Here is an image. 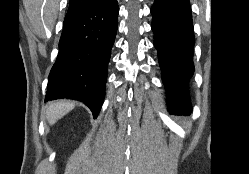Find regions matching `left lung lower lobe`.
<instances>
[{"mask_svg": "<svg viewBox=\"0 0 249 174\" xmlns=\"http://www.w3.org/2000/svg\"><path fill=\"white\" fill-rule=\"evenodd\" d=\"M154 46L168 95L169 111H192L188 82L194 72L195 43L189 0H155L151 7Z\"/></svg>", "mask_w": 249, "mask_h": 174, "instance_id": "obj_1", "label": "left lung lower lobe"}]
</instances>
